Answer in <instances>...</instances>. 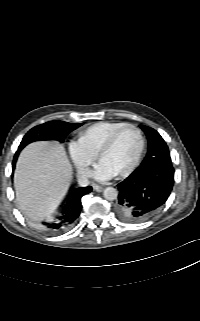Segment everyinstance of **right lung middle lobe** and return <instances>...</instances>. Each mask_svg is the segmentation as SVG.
<instances>
[{"mask_svg": "<svg viewBox=\"0 0 200 321\" xmlns=\"http://www.w3.org/2000/svg\"><path fill=\"white\" fill-rule=\"evenodd\" d=\"M82 123H68L64 121H49L38 125L27 132L22 139L18 151H21L26 145L41 140H57L63 142L65 137Z\"/></svg>", "mask_w": 200, "mask_h": 321, "instance_id": "right-lung-middle-lobe-1", "label": "right lung middle lobe"}]
</instances>
